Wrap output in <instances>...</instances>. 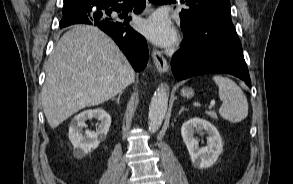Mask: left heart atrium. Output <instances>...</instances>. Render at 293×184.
I'll use <instances>...</instances> for the list:
<instances>
[{"instance_id": "1", "label": "left heart atrium", "mask_w": 293, "mask_h": 184, "mask_svg": "<svg viewBox=\"0 0 293 184\" xmlns=\"http://www.w3.org/2000/svg\"><path fill=\"white\" fill-rule=\"evenodd\" d=\"M142 32L157 44L168 46L175 41V30L163 14H155L141 25Z\"/></svg>"}]
</instances>
